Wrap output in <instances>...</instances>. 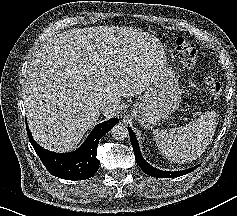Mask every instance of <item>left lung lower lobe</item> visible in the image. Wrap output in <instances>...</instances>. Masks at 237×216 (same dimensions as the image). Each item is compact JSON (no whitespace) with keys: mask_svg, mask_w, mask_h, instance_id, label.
<instances>
[{"mask_svg":"<svg viewBox=\"0 0 237 216\" xmlns=\"http://www.w3.org/2000/svg\"><path fill=\"white\" fill-rule=\"evenodd\" d=\"M128 131H129L130 140H131V144H132V147H133L136 162L139 165V167L141 168V170L149 176L157 177V178L179 177V176L190 173L191 171L195 170L199 166L198 165L196 167H193V168H190V169H187V170H183V171H178V172H167V171L158 170V169L152 167L151 165H149L144 160V158L142 157V155L140 153L138 142L136 140V136H135L134 132L129 127H128Z\"/></svg>","mask_w":237,"mask_h":216,"instance_id":"obj_1","label":"left lung lower lobe"}]
</instances>
